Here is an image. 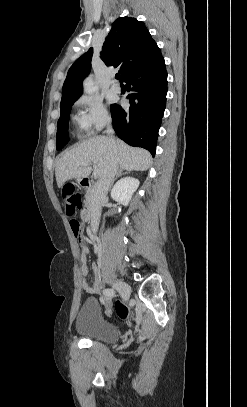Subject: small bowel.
Returning a JSON list of instances; mask_svg holds the SVG:
<instances>
[{
    "label": "small bowel",
    "instance_id": "c3829d8e",
    "mask_svg": "<svg viewBox=\"0 0 247 407\" xmlns=\"http://www.w3.org/2000/svg\"><path fill=\"white\" fill-rule=\"evenodd\" d=\"M80 247H81V263H82V265H81V274H82V277H83V284H82L83 289L88 293H98V291H99V282L95 281L93 283V285H89L87 283V281H86V277L88 275L87 254H88L89 250H88L87 246L81 240H80ZM93 270L95 272H97L98 269H97L96 265L93 266ZM104 303H105V306L108 309H110V307H111L110 301L108 299H105Z\"/></svg>",
    "mask_w": 247,
    "mask_h": 407
}]
</instances>
